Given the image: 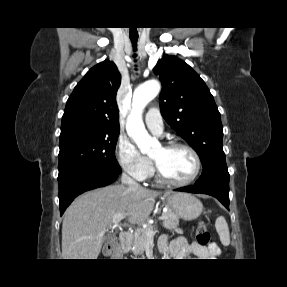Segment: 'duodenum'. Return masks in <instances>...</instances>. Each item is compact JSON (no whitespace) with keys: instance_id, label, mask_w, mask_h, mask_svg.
Segmentation results:
<instances>
[{"instance_id":"obj_1","label":"duodenum","mask_w":287,"mask_h":287,"mask_svg":"<svg viewBox=\"0 0 287 287\" xmlns=\"http://www.w3.org/2000/svg\"><path fill=\"white\" fill-rule=\"evenodd\" d=\"M120 242H121V245H122V249L124 251H127L128 250V247H129V244H130V241L132 239V234L131 232L129 231H124L120 234Z\"/></svg>"}]
</instances>
